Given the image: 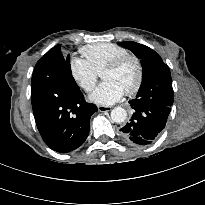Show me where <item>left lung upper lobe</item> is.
<instances>
[{
    "mask_svg": "<svg viewBox=\"0 0 205 205\" xmlns=\"http://www.w3.org/2000/svg\"><path fill=\"white\" fill-rule=\"evenodd\" d=\"M118 45L131 50L143 67V79L135 102L148 105L171 106L174 92L169 67L151 48L136 42H118Z\"/></svg>",
    "mask_w": 205,
    "mask_h": 205,
    "instance_id": "obj_1",
    "label": "left lung upper lobe"
}]
</instances>
